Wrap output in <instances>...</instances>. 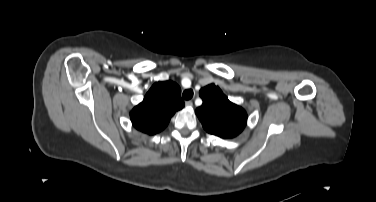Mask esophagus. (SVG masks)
Masks as SVG:
<instances>
[{"mask_svg": "<svg viewBox=\"0 0 376 202\" xmlns=\"http://www.w3.org/2000/svg\"><path fill=\"white\" fill-rule=\"evenodd\" d=\"M185 105L187 106V107H192L193 106V102L192 101H186L185 102Z\"/></svg>", "mask_w": 376, "mask_h": 202, "instance_id": "obj_1", "label": "esophagus"}]
</instances>
